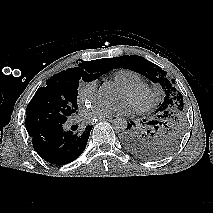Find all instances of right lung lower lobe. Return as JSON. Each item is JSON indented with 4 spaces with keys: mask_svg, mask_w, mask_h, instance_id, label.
<instances>
[{
    "mask_svg": "<svg viewBox=\"0 0 213 213\" xmlns=\"http://www.w3.org/2000/svg\"><path fill=\"white\" fill-rule=\"evenodd\" d=\"M92 126H86L82 133L64 130L63 124L45 127L33 134L32 144L35 151L45 161L65 165L78 158L84 151Z\"/></svg>",
    "mask_w": 213,
    "mask_h": 213,
    "instance_id": "1",
    "label": "right lung lower lobe"
}]
</instances>
